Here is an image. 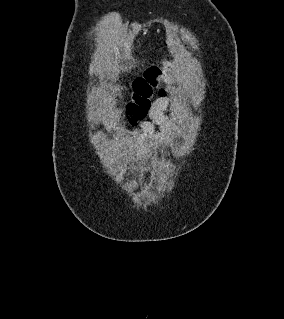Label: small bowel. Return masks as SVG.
Wrapping results in <instances>:
<instances>
[{
  "mask_svg": "<svg viewBox=\"0 0 284 319\" xmlns=\"http://www.w3.org/2000/svg\"><path fill=\"white\" fill-rule=\"evenodd\" d=\"M170 104L169 99L158 100L150 110V120L142 122L132 133V140L141 154L151 156L154 147L167 145L174 137V125L167 114Z\"/></svg>",
  "mask_w": 284,
  "mask_h": 319,
  "instance_id": "small-bowel-1",
  "label": "small bowel"
}]
</instances>
